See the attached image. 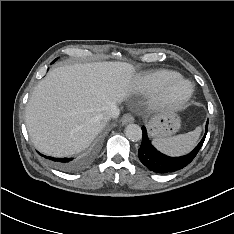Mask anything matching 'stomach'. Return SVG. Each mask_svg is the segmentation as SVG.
I'll use <instances>...</instances> for the list:
<instances>
[{"instance_id":"obj_1","label":"stomach","mask_w":234,"mask_h":234,"mask_svg":"<svg viewBox=\"0 0 234 234\" xmlns=\"http://www.w3.org/2000/svg\"><path fill=\"white\" fill-rule=\"evenodd\" d=\"M181 119L179 115L171 110L162 111L148 121L149 134L154 138H166L179 131Z\"/></svg>"}]
</instances>
